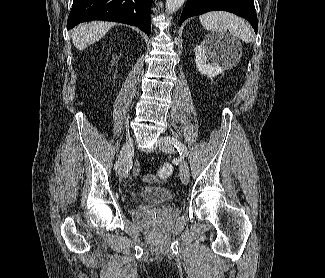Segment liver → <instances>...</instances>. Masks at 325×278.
<instances>
[{
	"instance_id": "obj_1",
	"label": "liver",
	"mask_w": 325,
	"mask_h": 278,
	"mask_svg": "<svg viewBox=\"0 0 325 278\" xmlns=\"http://www.w3.org/2000/svg\"><path fill=\"white\" fill-rule=\"evenodd\" d=\"M115 24L111 22L92 21L88 24L79 25L72 31L74 46L82 51L88 45L101 39Z\"/></svg>"
}]
</instances>
